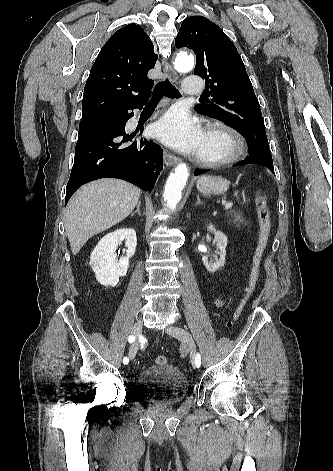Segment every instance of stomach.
<instances>
[{"mask_svg": "<svg viewBox=\"0 0 333 471\" xmlns=\"http://www.w3.org/2000/svg\"><path fill=\"white\" fill-rule=\"evenodd\" d=\"M197 189L205 195H221L229 188V181L220 176H201L197 181Z\"/></svg>", "mask_w": 333, "mask_h": 471, "instance_id": "obj_1", "label": "stomach"}]
</instances>
